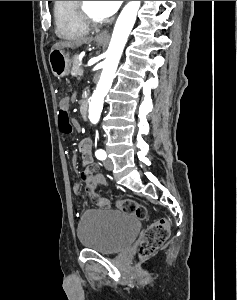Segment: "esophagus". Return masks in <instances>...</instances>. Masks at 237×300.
<instances>
[{"mask_svg":"<svg viewBox=\"0 0 237 300\" xmlns=\"http://www.w3.org/2000/svg\"><path fill=\"white\" fill-rule=\"evenodd\" d=\"M109 38V32L108 31H102L101 33L97 34L96 40L102 41Z\"/></svg>","mask_w":237,"mask_h":300,"instance_id":"esophagus-1","label":"esophagus"}]
</instances>
